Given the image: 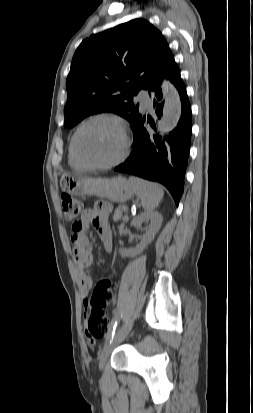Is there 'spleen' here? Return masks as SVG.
Wrapping results in <instances>:
<instances>
[{
	"label": "spleen",
	"mask_w": 253,
	"mask_h": 413,
	"mask_svg": "<svg viewBox=\"0 0 253 413\" xmlns=\"http://www.w3.org/2000/svg\"><path fill=\"white\" fill-rule=\"evenodd\" d=\"M129 182L135 194L141 199L142 206L145 210L152 211L159 206L164 196V191L161 186L134 176L129 177Z\"/></svg>",
	"instance_id": "obj_1"
}]
</instances>
